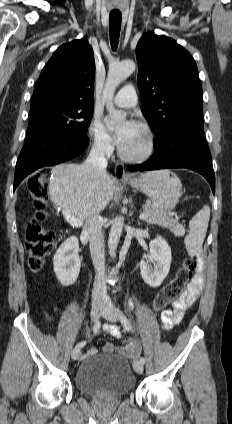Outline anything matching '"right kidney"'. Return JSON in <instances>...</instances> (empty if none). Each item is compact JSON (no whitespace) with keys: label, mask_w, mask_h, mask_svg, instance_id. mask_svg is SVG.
I'll use <instances>...</instances> for the list:
<instances>
[{"label":"right kidney","mask_w":232,"mask_h":424,"mask_svg":"<svg viewBox=\"0 0 232 424\" xmlns=\"http://www.w3.org/2000/svg\"><path fill=\"white\" fill-rule=\"evenodd\" d=\"M78 252V240L72 236L61 244L54 255V272L63 286L72 285L78 278L81 267Z\"/></svg>","instance_id":"right-kidney-1"}]
</instances>
